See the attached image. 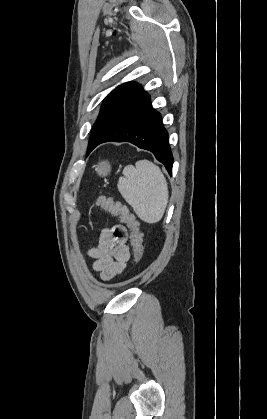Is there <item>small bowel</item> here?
<instances>
[{
  "mask_svg": "<svg viewBox=\"0 0 267 419\" xmlns=\"http://www.w3.org/2000/svg\"><path fill=\"white\" fill-rule=\"evenodd\" d=\"M94 262L92 268L100 280L108 281L121 274L129 260L127 231L121 225L102 230L98 244L87 251Z\"/></svg>",
  "mask_w": 267,
  "mask_h": 419,
  "instance_id": "c3829d8e",
  "label": "small bowel"
}]
</instances>
